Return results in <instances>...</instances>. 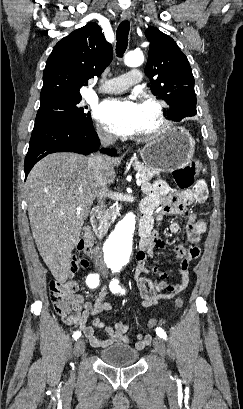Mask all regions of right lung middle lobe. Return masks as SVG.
I'll use <instances>...</instances> for the list:
<instances>
[{"label":"right lung middle lobe","mask_w":243,"mask_h":409,"mask_svg":"<svg viewBox=\"0 0 243 409\" xmlns=\"http://www.w3.org/2000/svg\"><path fill=\"white\" fill-rule=\"evenodd\" d=\"M85 109H87V106H82L81 95L47 99L40 102L36 119L47 118L64 121L72 125H85L92 122L90 113H87Z\"/></svg>","instance_id":"dd1d6c3e"}]
</instances>
